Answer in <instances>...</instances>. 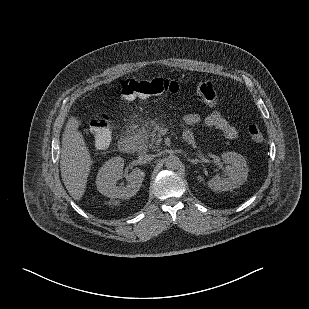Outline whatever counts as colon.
I'll return each mask as SVG.
<instances>
[{
    "mask_svg": "<svg viewBox=\"0 0 309 309\" xmlns=\"http://www.w3.org/2000/svg\"><path fill=\"white\" fill-rule=\"evenodd\" d=\"M120 93L124 100L132 101L143 99L152 95L169 93L172 95H181L183 93L180 85L174 81L163 78L140 81L134 79H122L120 81ZM189 91L200 102L208 107H214L217 102V93L210 82H201L192 84ZM88 131L94 136L95 142L106 147L112 139L111 118L107 114H101L92 119L88 126ZM248 133L253 142L261 144L264 141L263 134L256 124L248 127Z\"/></svg>",
    "mask_w": 309,
    "mask_h": 309,
    "instance_id": "obj_1",
    "label": "colon"
}]
</instances>
